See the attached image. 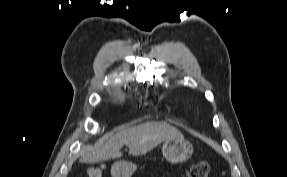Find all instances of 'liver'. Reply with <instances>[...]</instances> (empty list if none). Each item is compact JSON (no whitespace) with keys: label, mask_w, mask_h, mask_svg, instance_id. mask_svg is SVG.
Returning <instances> with one entry per match:
<instances>
[{"label":"liver","mask_w":287,"mask_h":177,"mask_svg":"<svg viewBox=\"0 0 287 177\" xmlns=\"http://www.w3.org/2000/svg\"><path fill=\"white\" fill-rule=\"evenodd\" d=\"M175 138H183L182 133L166 122H145L113 135L106 143L98 146H83L82 162L96 163L103 160L116 159L124 145L133 156L145 155L160 143Z\"/></svg>","instance_id":"liver-1"}]
</instances>
